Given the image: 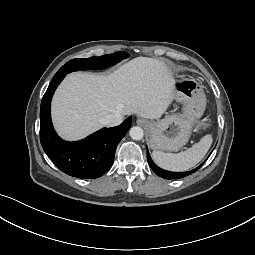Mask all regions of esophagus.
<instances>
[{
    "label": "esophagus",
    "mask_w": 255,
    "mask_h": 255,
    "mask_svg": "<svg viewBox=\"0 0 255 255\" xmlns=\"http://www.w3.org/2000/svg\"><path fill=\"white\" fill-rule=\"evenodd\" d=\"M146 121L144 120V119H137V124L138 125H141V126H143V125H146Z\"/></svg>",
    "instance_id": "1"
}]
</instances>
